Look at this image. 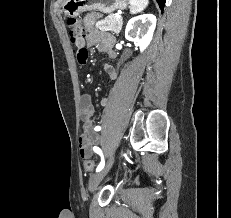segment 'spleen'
Returning a JSON list of instances; mask_svg holds the SVG:
<instances>
[{"mask_svg":"<svg viewBox=\"0 0 231 218\" xmlns=\"http://www.w3.org/2000/svg\"><path fill=\"white\" fill-rule=\"evenodd\" d=\"M130 2V13L137 14L143 11L149 3V0H129Z\"/></svg>","mask_w":231,"mask_h":218,"instance_id":"spleen-1","label":"spleen"}]
</instances>
